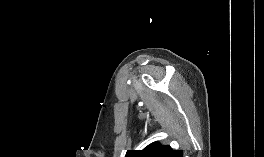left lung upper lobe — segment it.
<instances>
[{
  "instance_id": "obj_1",
  "label": "left lung upper lobe",
  "mask_w": 264,
  "mask_h": 157,
  "mask_svg": "<svg viewBox=\"0 0 264 157\" xmlns=\"http://www.w3.org/2000/svg\"><path fill=\"white\" fill-rule=\"evenodd\" d=\"M125 157H183V152L154 142L142 150H128Z\"/></svg>"
}]
</instances>
